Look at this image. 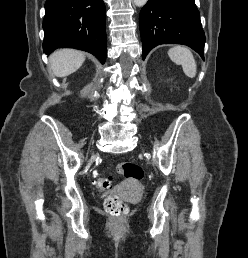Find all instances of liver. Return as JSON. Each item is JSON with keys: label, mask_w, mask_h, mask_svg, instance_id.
<instances>
[{"label": "liver", "mask_w": 248, "mask_h": 258, "mask_svg": "<svg viewBox=\"0 0 248 258\" xmlns=\"http://www.w3.org/2000/svg\"><path fill=\"white\" fill-rule=\"evenodd\" d=\"M84 60V53L73 49H59L49 57L51 68L57 77L74 73L82 66Z\"/></svg>", "instance_id": "1"}]
</instances>
